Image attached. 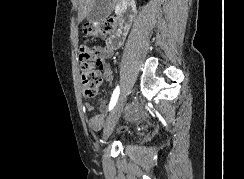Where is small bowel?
<instances>
[{
  "label": "small bowel",
  "mask_w": 244,
  "mask_h": 179,
  "mask_svg": "<svg viewBox=\"0 0 244 179\" xmlns=\"http://www.w3.org/2000/svg\"><path fill=\"white\" fill-rule=\"evenodd\" d=\"M123 43V39L121 37H117L116 41L113 43L108 42L106 45H96L94 46V51L101 63V70L103 74V78L111 83L113 81V70L109 63H107V60L110 59L114 51L119 48ZM101 112L98 115H94L89 120V126L93 130H99L103 123H104V117L107 115V102L102 101L100 103ZM86 110L88 112L94 111V106L90 103L86 104ZM129 114L132 116L133 112L129 111Z\"/></svg>",
  "instance_id": "1"
}]
</instances>
